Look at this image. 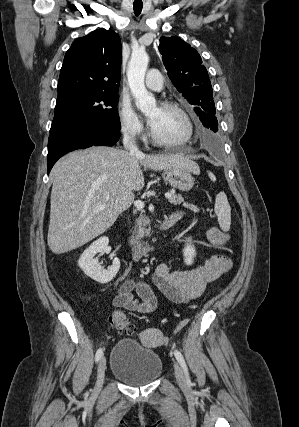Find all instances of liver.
<instances>
[{
	"label": "liver",
	"mask_w": 299,
	"mask_h": 427,
	"mask_svg": "<svg viewBox=\"0 0 299 427\" xmlns=\"http://www.w3.org/2000/svg\"><path fill=\"white\" fill-rule=\"evenodd\" d=\"M140 166L160 171L184 168L198 175L199 166L178 155L131 154L107 146L73 151L51 171L50 223L47 242L55 254L76 249L110 228L144 187ZM105 204L103 209L97 207Z\"/></svg>",
	"instance_id": "liver-1"
}]
</instances>
